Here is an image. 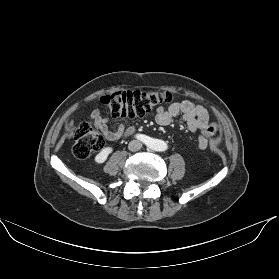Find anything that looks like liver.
Instances as JSON below:
<instances>
[{
	"label": "liver",
	"mask_w": 279,
	"mask_h": 279,
	"mask_svg": "<svg viewBox=\"0 0 279 279\" xmlns=\"http://www.w3.org/2000/svg\"><path fill=\"white\" fill-rule=\"evenodd\" d=\"M69 126H70V127H72V126H73V121H71V122H70Z\"/></svg>",
	"instance_id": "1"
}]
</instances>
